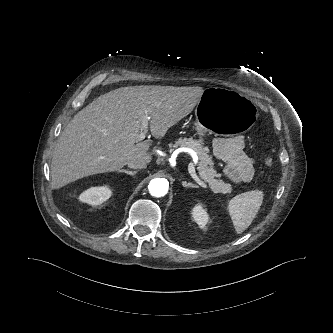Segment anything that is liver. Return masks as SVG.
I'll use <instances>...</instances> for the list:
<instances>
[{
  "label": "liver",
  "mask_w": 333,
  "mask_h": 333,
  "mask_svg": "<svg viewBox=\"0 0 333 333\" xmlns=\"http://www.w3.org/2000/svg\"><path fill=\"white\" fill-rule=\"evenodd\" d=\"M204 93L201 87L128 86L105 93L79 111L55 146L51 177L54 189L83 177L118 171L131 160L150 163V140L137 142L142 118L162 138L191 113Z\"/></svg>",
  "instance_id": "liver-1"
}]
</instances>
